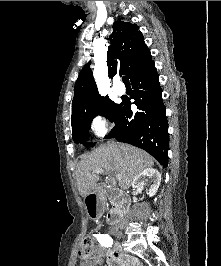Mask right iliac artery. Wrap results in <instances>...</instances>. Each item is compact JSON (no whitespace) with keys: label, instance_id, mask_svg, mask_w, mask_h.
Returning a JSON list of instances; mask_svg holds the SVG:
<instances>
[{"label":"right iliac artery","instance_id":"82829eb1","mask_svg":"<svg viewBox=\"0 0 221 266\" xmlns=\"http://www.w3.org/2000/svg\"><path fill=\"white\" fill-rule=\"evenodd\" d=\"M96 238L104 247H111L113 244V239L108 234H99Z\"/></svg>","mask_w":221,"mask_h":266}]
</instances>
